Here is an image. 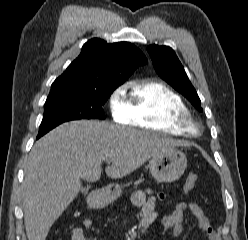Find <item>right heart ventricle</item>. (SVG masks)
Segmentation results:
<instances>
[{
    "instance_id": "1",
    "label": "right heart ventricle",
    "mask_w": 248,
    "mask_h": 240,
    "mask_svg": "<svg viewBox=\"0 0 248 240\" xmlns=\"http://www.w3.org/2000/svg\"><path fill=\"white\" fill-rule=\"evenodd\" d=\"M128 103L132 115L131 125L149 131L188 135L172 119L179 114H189V110L181 96L164 83L156 80L135 83Z\"/></svg>"
}]
</instances>
